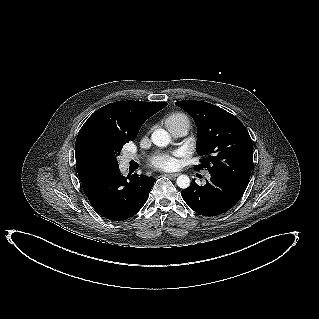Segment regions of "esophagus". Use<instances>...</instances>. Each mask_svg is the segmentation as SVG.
<instances>
[{
	"instance_id": "1",
	"label": "esophagus",
	"mask_w": 319,
	"mask_h": 319,
	"mask_svg": "<svg viewBox=\"0 0 319 319\" xmlns=\"http://www.w3.org/2000/svg\"><path fill=\"white\" fill-rule=\"evenodd\" d=\"M165 175L168 177H177L179 175V173H167Z\"/></svg>"
}]
</instances>
